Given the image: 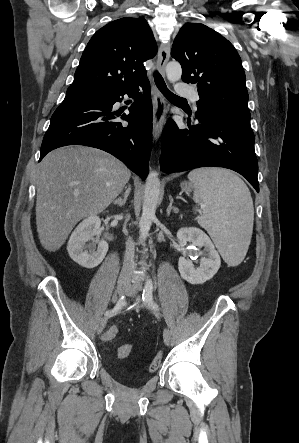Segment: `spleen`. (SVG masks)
Listing matches in <instances>:
<instances>
[{"instance_id": "spleen-1", "label": "spleen", "mask_w": 299, "mask_h": 443, "mask_svg": "<svg viewBox=\"0 0 299 443\" xmlns=\"http://www.w3.org/2000/svg\"><path fill=\"white\" fill-rule=\"evenodd\" d=\"M195 186L194 200L203 213L197 218L211 236L225 262L236 266L248 250L254 220L251 194L233 172L201 168L189 173Z\"/></svg>"}]
</instances>
